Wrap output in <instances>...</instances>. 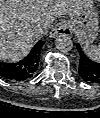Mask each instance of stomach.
I'll return each instance as SVG.
<instances>
[{
    "label": "stomach",
    "instance_id": "1",
    "mask_svg": "<svg viewBox=\"0 0 100 118\" xmlns=\"http://www.w3.org/2000/svg\"><path fill=\"white\" fill-rule=\"evenodd\" d=\"M71 29L85 43H92L99 36V13L90 0H85L78 12L71 17Z\"/></svg>",
    "mask_w": 100,
    "mask_h": 118
}]
</instances>
